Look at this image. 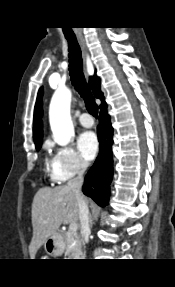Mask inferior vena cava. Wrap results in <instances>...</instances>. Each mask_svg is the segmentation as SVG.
<instances>
[{
	"mask_svg": "<svg viewBox=\"0 0 175 287\" xmlns=\"http://www.w3.org/2000/svg\"><path fill=\"white\" fill-rule=\"evenodd\" d=\"M86 168V163L81 162L77 170V176L67 183V188L72 190L75 194L78 208H79V219L81 224V234L84 237L85 241L88 242L90 235L89 228V209L86 200L84 199L81 193V187L83 184V174Z\"/></svg>",
	"mask_w": 175,
	"mask_h": 287,
	"instance_id": "1",
	"label": "inferior vena cava"
}]
</instances>
